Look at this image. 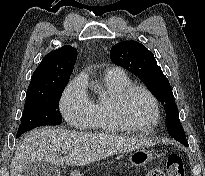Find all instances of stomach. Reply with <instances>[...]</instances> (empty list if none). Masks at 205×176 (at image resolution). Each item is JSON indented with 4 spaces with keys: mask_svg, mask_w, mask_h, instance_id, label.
I'll list each match as a JSON object with an SVG mask.
<instances>
[{
    "mask_svg": "<svg viewBox=\"0 0 205 176\" xmlns=\"http://www.w3.org/2000/svg\"><path fill=\"white\" fill-rule=\"evenodd\" d=\"M152 159H153V154L146 149L137 150L131 153L129 156V162L131 163V165L136 167L144 166Z\"/></svg>",
    "mask_w": 205,
    "mask_h": 176,
    "instance_id": "stomach-1",
    "label": "stomach"
}]
</instances>
